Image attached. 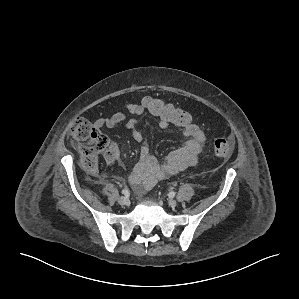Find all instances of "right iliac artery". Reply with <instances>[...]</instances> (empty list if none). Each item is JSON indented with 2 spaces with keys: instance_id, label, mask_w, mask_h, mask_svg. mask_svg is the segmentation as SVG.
<instances>
[{
  "instance_id": "right-iliac-artery-1",
  "label": "right iliac artery",
  "mask_w": 299,
  "mask_h": 299,
  "mask_svg": "<svg viewBox=\"0 0 299 299\" xmlns=\"http://www.w3.org/2000/svg\"><path fill=\"white\" fill-rule=\"evenodd\" d=\"M130 191L128 189H123L122 194L129 195Z\"/></svg>"
}]
</instances>
